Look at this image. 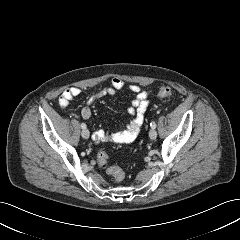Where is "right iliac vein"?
<instances>
[{
	"label": "right iliac vein",
	"instance_id": "right-iliac-vein-1",
	"mask_svg": "<svg viewBox=\"0 0 240 240\" xmlns=\"http://www.w3.org/2000/svg\"><path fill=\"white\" fill-rule=\"evenodd\" d=\"M81 135L84 139H88L89 136H90V132L88 129H83L82 132H81Z\"/></svg>",
	"mask_w": 240,
	"mask_h": 240
}]
</instances>
